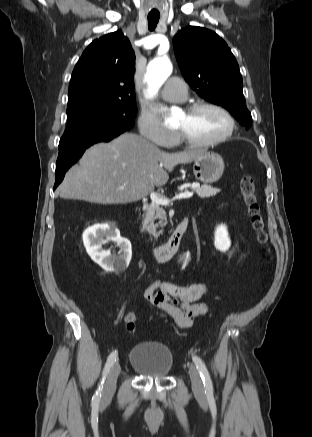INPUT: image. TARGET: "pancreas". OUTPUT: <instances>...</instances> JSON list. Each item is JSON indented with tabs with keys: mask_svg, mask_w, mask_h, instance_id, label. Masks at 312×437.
<instances>
[{
	"mask_svg": "<svg viewBox=\"0 0 312 437\" xmlns=\"http://www.w3.org/2000/svg\"><path fill=\"white\" fill-rule=\"evenodd\" d=\"M193 190L197 193V195L200 198H209L215 196L217 193L220 192V189L213 188L207 185L196 186L193 188ZM166 224H167L166 213L163 210V208L160 206V204L157 203L150 204L147 208V212L143 222V229L148 231L149 234H151L155 238H158V236L163 232L162 230H159V228H162Z\"/></svg>",
	"mask_w": 312,
	"mask_h": 437,
	"instance_id": "cf45deb5",
	"label": "pancreas"
}]
</instances>
